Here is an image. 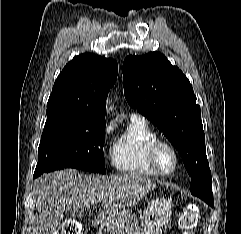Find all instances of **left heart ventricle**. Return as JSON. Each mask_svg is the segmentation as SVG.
Returning a JSON list of instances; mask_svg holds the SVG:
<instances>
[{
	"mask_svg": "<svg viewBox=\"0 0 241 234\" xmlns=\"http://www.w3.org/2000/svg\"><path fill=\"white\" fill-rule=\"evenodd\" d=\"M161 163L163 165V167L165 169H171L172 165H173V159H172V156L171 154L167 151V150H163L161 152Z\"/></svg>",
	"mask_w": 241,
	"mask_h": 234,
	"instance_id": "b2bd125f",
	"label": "left heart ventricle"
}]
</instances>
